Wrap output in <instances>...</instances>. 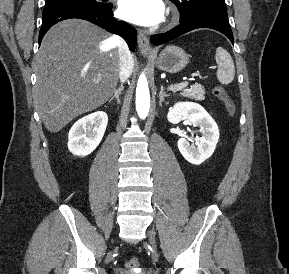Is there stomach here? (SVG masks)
<instances>
[{
    "mask_svg": "<svg viewBox=\"0 0 289 274\" xmlns=\"http://www.w3.org/2000/svg\"><path fill=\"white\" fill-rule=\"evenodd\" d=\"M189 63V55L180 47L167 46L158 56V69L168 73H178Z\"/></svg>",
    "mask_w": 289,
    "mask_h": 274,
    "instance_id": "stomach-1",
    "label": "stomach"
}]
</instances>
